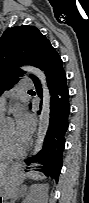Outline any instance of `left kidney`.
Listing matches in <instances>:
<instances>
[{
	"instance_id": "1",
	"label": "left kidney",
	"mask_w": 89,
	"mask_h": 203,
	"mask_svg": "<svg viewBox=\"0 0 89 203\" xmlns=\"http://www.w3.org/2000/svg\"><path fill=\"white\" fill-rule=\"evenodd\" d=\"M32 188L36 189V192H31L29 197L33 199V203H48V189L46 184H36ZM23 203H27L24 201Z\"/></svg>"
}]
</instances>
